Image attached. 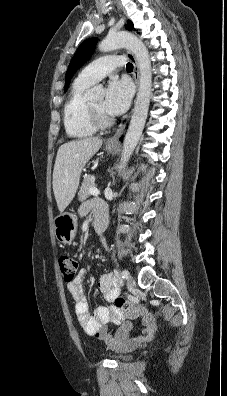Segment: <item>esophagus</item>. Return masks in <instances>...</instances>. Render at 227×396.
<instances>
[{
    "instance_id": "1",
    "label": "esophagus",
    "mask_w": 227,
    "mask_h": 396,
    "mask_svg": "<svg viewBox=\"0 0 227 396\" xmlns=\"http://www.w3.org/2000/svg\"><path fill=\"white\" fill-rule=\"evenodd\" d=\"M118 9H120L119 6H118ZM126 56L133 64V79L135 81L136 87L138 88V86H139V67H138L137 59L134 56V54L131 53L130 51H126ZM124 129H125V125H123L121 128H119L113 136L108 138L107 144L108 145L118 144L119 138H120L122 132L124 131Z\"/></svg>"
}]
</instances>
